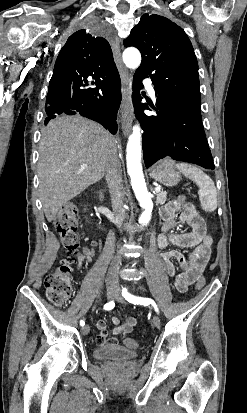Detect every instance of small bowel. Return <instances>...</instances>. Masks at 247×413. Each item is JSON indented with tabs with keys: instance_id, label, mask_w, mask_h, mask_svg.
<instances>
[{
	"instance_id": "obj_1",
	"label": "small bowel",
	"mask_w": 247,
	"mask_h": 413,
	"mask_svg": "<svg viewBox=\"0 0 247 413\" xmlns=\"http://www.w3.org/2000/svg\"><path fill=\"white\" fill-rule=\"evenodd\" d=\"M180 209V205L175 203L165 205L162 208L161 216L163 224L162 232L158 236V245L161 248H166L170 244L180 248H193L188 257L183 256L175 250L164 251L161 254L167 273L174 277L173 284L175 289L183 293L187 290L189 284L196 281L199 273L202 272L206 265L207 260L204 258V254L207 250V246L205 241L209 235L207 234L203 218L193 205H184L177 215V212ZM184 225H188L191 228V231L179 234L170 232L173 228L182 227ZM93 256V250L87 248L83 249L76 256V268L81 269L84 264L92 261ZM173 259H176L180 264L181 272H177ZM112 323L114 325L112 330L113 334H109V331L104 329V324L98 325L100 330L98 331L97 341L99 342L100 347L104 346V342L107 338V347L109 349H117L119 347L117 335L132 332L137 324V320L136 318L129 316L124 323H121L117 316H113Z\"/></svg>"
}]
</instances>
